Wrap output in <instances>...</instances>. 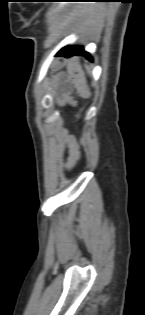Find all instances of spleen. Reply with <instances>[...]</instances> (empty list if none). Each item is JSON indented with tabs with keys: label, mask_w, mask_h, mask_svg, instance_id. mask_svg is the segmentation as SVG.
<instances>
[{
	"label": "spleen",
	"mask_w": 145,
	"mask_h": 315,
	"mask_svg": "<svg viewBox=\"0 0 145 315\" xmlns=\"http://www.w3.org/2000/svg\"><path fill=\"white\" fill-rule=\"evenodd\" d=\"M85 68H86L87 72L89 73L90 72L89 67L86 65Z\"/></svg>",
	"instance_id": "1"
}]
</instances>
